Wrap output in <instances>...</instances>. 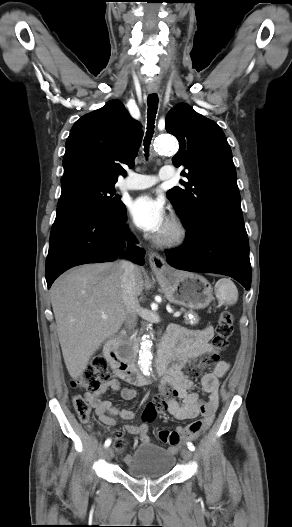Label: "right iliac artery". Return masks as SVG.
I'll return each instance as SVG.
<instances>
[{
	"mask_svg": "<svg viewBox=\"0 0 292 527\" xmlns=\"http://www.w3.org/2000/svg\"><path fill=\"white\" fill-rule=\"evenodd\" d=\"M110 444H111V439H107V440L105 441V443H104V447L107 448V447L110 446Z\"/></svg>",
	"mask_w": 292,
	"mask_h": 527,
	"instance_id": "right-iliac-artery-1",
	"label": "right iliac artery"
}]
</instances>
